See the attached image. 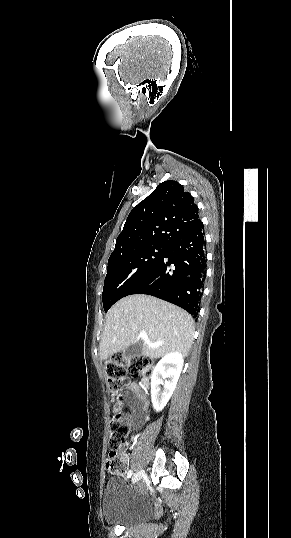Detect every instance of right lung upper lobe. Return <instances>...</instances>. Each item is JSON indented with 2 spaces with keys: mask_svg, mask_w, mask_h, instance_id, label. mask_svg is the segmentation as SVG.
I'll return each mask as SVG.
<instances>
[{
  "mask_svg": "<svg viewBox=\"0 0 291 538\" xmlns=\"http://www.w3.org/2000/svg\"><path fill=\"white\" fill-rule=\"evenodd\" d=\"M200 224L191 194L177 181L162 182L132 209L110 258L146 246H169Z\"/></svg>",
  "mask_w": 291,
  "mask_h": 538,
  "instance_id": "cb5924a9",
  "label": "right lung upper lobe"
}]
</instances>
